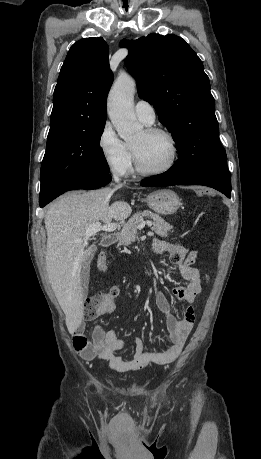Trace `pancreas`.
<instances>
[{
    "instance_id": "1",
    "label": "pancreas",
    "mask_w": 261,
    "mask_h": 459,
    "mask_svg": "<svg viewBox=\"0 0 261 459\" xmlns=\"http://www.w3.org/2000/svg\"><path fill=\"white\" fill-rule=\"evenodd\" d=\"M144 217H150L153 220L152 229L161 237H167L173 226L165 222L158 214L145 210L134 214L130 220L123 225L121 232L118 234L119 244L129 245L136 240L137 230L140 222Z\"/></svg>"
}]
</instances>
